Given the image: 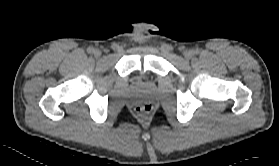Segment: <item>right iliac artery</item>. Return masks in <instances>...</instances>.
Returning a JSON list of instances; mask_svg holds the SVG:
<instances>
[{"label":"right iliac artery","mask_w":279,"mask_h":166,"mask_svg":"<svg viewBox=\"0 0 279 166\" xmlns=\"http://www.w3.org/2000/svg\"><path fill=\"white\" fill-rule=\"evenodd\" d=\"M87 51H88V53H93L94 48H93V47H89V48L87 49Z\"/></svg>","instance_id":"obj_1"}]
</instances>
